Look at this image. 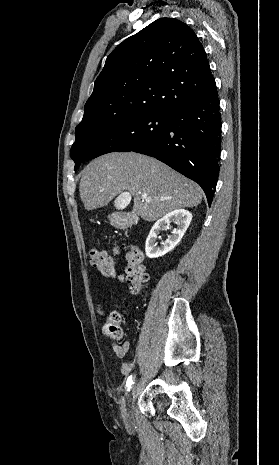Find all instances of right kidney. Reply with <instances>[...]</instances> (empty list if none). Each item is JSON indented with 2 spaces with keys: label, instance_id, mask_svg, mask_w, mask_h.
<instances>
[{
  "label": "right kidney",
  "instance_id": "ca27d5eb",
  "mask_svg": "<svg viewBox=\"0 0 279 465\" xmlns=\"http://www.w3.org/2000/svg\"><path fill=\"white\" fill-rule=\"evenodd\" d=\"M192 214L185 209H176L160 218L151 228L145 244V252L148 258H158L174 249L181 241L184 233L190 225ZM171 222L177 224V228L168 236L161 247H157V238L161 231L170 225Z\"/></svg>",
  "mask_w": 279,
  "mask_h": 465
}]
</instances>
